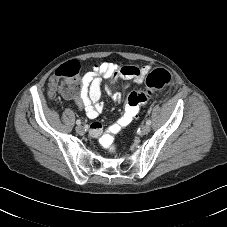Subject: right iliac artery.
<instances>
[{
    "label": "right iliac artery",
    "mask_w": 227,
    "mask_h": 227,
    "mask_svg": "<svg viewBox=\"0 0 227 227\" xmlns=\"http://www.w3.org/2000/svg\"><path fill=\"white\" fill-rule=\"evenodd\" d=\"M76 124H77V125H80V124H81V121H80V120H77V121H76Z\"/></svg>",
    "instance_id": "obj_1"
}]
</instances>
